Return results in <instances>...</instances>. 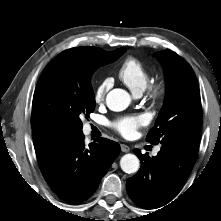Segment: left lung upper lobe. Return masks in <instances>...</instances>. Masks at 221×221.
Segmentation results:
<instances>
[{
  "label": "left lung upper lobe",
  "mask_w": 221,
  "mask_h": 221,
  "mask_svg": "<svg viewBox=\"0 0 221 221\" xmlns=\"http://www.w3.org/2000/svg\"><path fill=\"white\" fill-rule=\"evenodd\" d=\"M165 70L166 97L163 108L146 139L152 144H179L197 150L202 106L192 67L171 50L154 54Z\"/></svg>",
  "instance_id": "left-lung-upper-lobe-1"
}]
</instances>
